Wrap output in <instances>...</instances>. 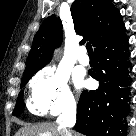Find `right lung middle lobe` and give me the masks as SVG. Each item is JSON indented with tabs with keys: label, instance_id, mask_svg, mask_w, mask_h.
<instances>
[{
	"label": "right lung middle lobe",
	"instance_id": "right-lung-middle-lobe-1",
	"mask_svg": "<svg viewBox=\"0 0 136 136\" xmlns=\"http://www.w3.org/2000/svg\"><path fill=\"white\" fill-rule=\"evenodd\" d=\"M33 75H30L28 77H25L22 79L21 82V88L24 87L26 85V83L28 82V80L32 77ZM23 110V92H20L17 102H16V106L13 110V115H19L20 113H22Z\"/></svg>",
	"mask_w": 136,
	"mask_h": 136
}]
</instances>
